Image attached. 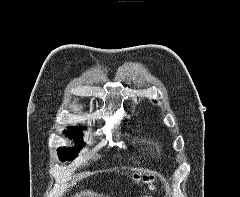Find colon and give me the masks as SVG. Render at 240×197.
Here are the masks:
<instances>
[{"instance_id": "1", "label": "colon", "mask_w": 240, "mask_h": 197, "mask_svg": "<svg viewBox=\"0 0 240 197\" xmlns=\"http://www.w3.org/2000/svg\"><path fill=\"white\" fill-rule=\"evenodd\" d=\"M143 179L149 181V180H152L153 177L152 176H145Z\"/></svg>"}]
</instances>
